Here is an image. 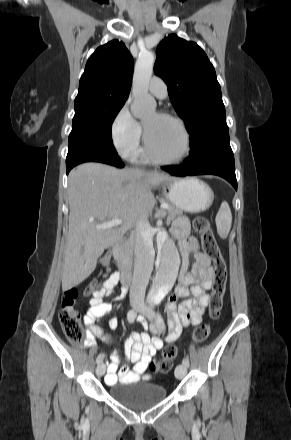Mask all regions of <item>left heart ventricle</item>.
<instances>
[{
  "instance_id": "1",
  "label": "left heart ventricle",
  "mask_w": 291,
  "mask_h": 440,
  "mask_svg": "<svg viewBox=\"0 0 291 440\" xmlns=\"http://www.w3.org/2000/svg\"><path fill=\"white\" fill-rule=\"evenodd\" d=\"M149 140L156 152L164 159H179L185 152V137L174 121L153 111L143 119Z\"/></svg>"
}]
</instances>
